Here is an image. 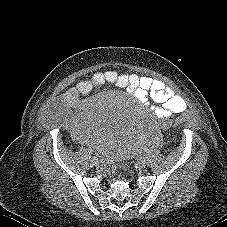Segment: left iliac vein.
I'll use <instances>...</instances> for the list:
<instances>
[{
	"instance_id": "obj_1",
	"label": "left iliac vein",
	"mask_w": 227,
	"mask_h": 227,
	"mask_svg": "<svg viewBox=\"0 0 227 227\" xmlns=\"http://www.w3.org/2000/svg\"><path fill=\"white\" fill-rule=\"evenodd\" d=\"M137 163H138V166L140 168H145L146 165H147V162H146V159L145 158H139L138 161H137Z\"/></svg>"
}]
</instances>
